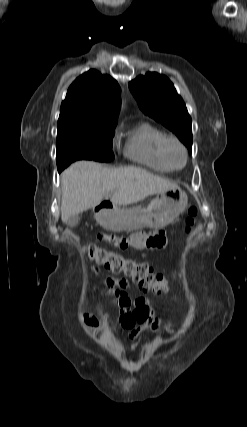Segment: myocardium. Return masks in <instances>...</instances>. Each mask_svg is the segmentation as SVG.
I'll list each match as a JSON object with an SVG mask.
<instances>
[{
  "label": "myocardium",
  "instance_id": "1",
  "mask_svg": "<svg viewBox=\"0 0 247 427\" xmlns=\"http://www.w3.org/2000/svg\"><path fill=\"white\" fill-rule=\"evenodd\" d=\"M173 146L178 147L183 153V161L180 165H176L171 159L170 150ZM161 153L163 159L172 170L182 169L186 165L188 160V152L185 145L176 137H166L164 139L161 145Z\"/></svg>",
  "mask_w": 247,
  "mask_h": 427
}]
</instances>
